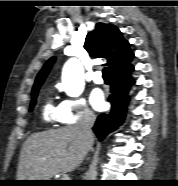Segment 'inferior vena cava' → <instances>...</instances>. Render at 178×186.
<instances>
[{
    "mask_svg": "<svg viewBox=\"0 0 178 186\" xmlns=\"http://www.w3.org/2000/svg\"><path fill=\"white\" fill-rule=\"evenodd\" d=\"M95 119V115L92 112L87 111L77 125L80 133L89 140L93 139L92 127Z\"/></svg>",
    "mask_w": 178,
    "mask_h": 186,
    "instance_id": "1",
    "label": "inferior vena cava"
}]
</instances>
